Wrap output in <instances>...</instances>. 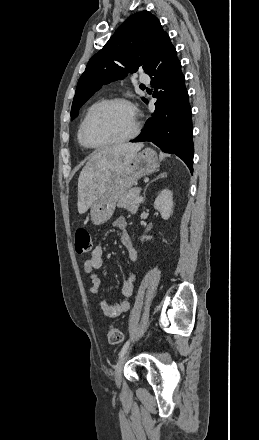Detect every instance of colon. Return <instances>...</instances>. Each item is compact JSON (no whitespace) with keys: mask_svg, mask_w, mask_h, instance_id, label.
Here are the masks:
<instances>
[{"mask_svg":"<svg viewBox=\"0 0 259 440\" xmlns=\"http://www.w3.org/2000/svg\"><path fill=\"white\" fill-rule=\"evenodd\" d=\"M92 238L90 232L85 228H79L75 236V249L78 254H86L92 249ZM107 338L110 344L118 345L123 341L122 331L111 325L108 328Z\"/></svg>","mask_w":259,"mask_h":440,"instance_id":"5ec220e1","label":"colon"}]
</instances>
